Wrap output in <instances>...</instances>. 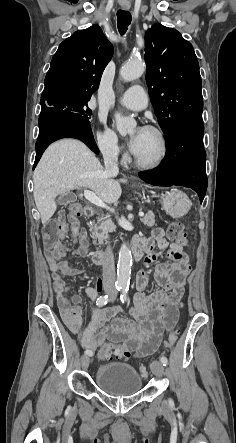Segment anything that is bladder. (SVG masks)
<instances>
[{
	"label": "bladder",
	"mask_w": 236,
	"mask_h": 443,
	"mask_svg": "<svg viewBox=\"0 0 236 443\" xmlns=\"http://www.w3.org/2000/svg\"><path fill=\"white\" fill-rule=\"evenodd\" d=\"M99 389L114 397L130 396L142 386V377L136 369L125 363L108 362L95 372Z\"/></svg>",
	"instance_id": "obj_1"
}]
</instances>
